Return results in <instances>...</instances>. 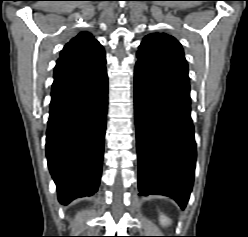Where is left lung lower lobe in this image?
<instances>
[{
	"label": "left lung lower lobe",
	"instance_id": "left-lung-lower-lobe-1",
	"mask_svg": "<svg viewBox=\"0 0 248 237\" xmlns=\"http://www.w3.org/2000/svg\"><path fill=\"white\" fill-rule=\"evenodd\" d=\"M134 103L139 195L169 196L184 209L196 161L190 85L138 61Z\"/></svg>",
	"mask_w": 248,
	"mask_h": 237
}]
</instances>
